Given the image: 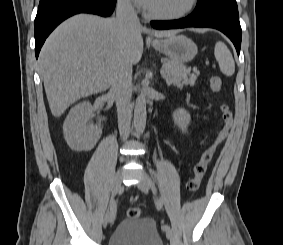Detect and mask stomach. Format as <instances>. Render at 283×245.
<instances>
[{
  "label": "stomach",
  "instance_id": "0dacf381",
  "mask_svg": "<svg viewBox=\"0 0 283 245\" xmlns=\"http://www.w3.org/2000/svg\"><path fill=\"white\" fill-rule=\"evenodd\" d=\"M152 46L171 60L179 63L191 61L197 54L196 44L184 35H173L153 41Z\"/></svg>",
  "mask_w": 283,
  "mask_h": 245
}]
</instances>
